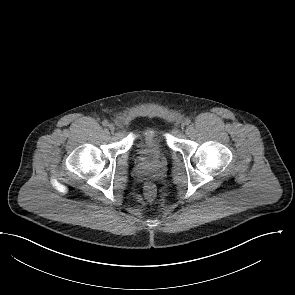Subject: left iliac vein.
Segmentation results:
<instances>
[{
    "mask_svg": "<svg viewBox=\"0 0 295 295\" xmlns=\"http://www.w3.org/2000/svg\"><path fill=\"white\" fill-rule=\"evenodd\" d=\"M181 125H182V127H184L186 124H185V122H183Z\"/></svg>",
    "mask_w": 295,
    "mask_h": 295,
    "instance_id": "4c4485c4",
    "label": "left iliac vein"
}]
</instances>
